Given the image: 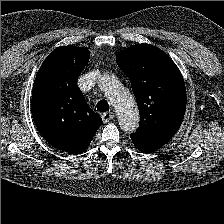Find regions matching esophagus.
Returning <instances> with one entry per match:
<instances>
[{"label": "esophagus", "mask_w": 224, "mask_h": 224, "mask_svg": "<svg viewBox=\"0 0 224 224\" xmlns=\"http://www.w3.org/2000/svg\"><path fill=\"white\" fill-rule=\"evenodd\" d=\"M101 117L103 122L107 123L114 118V114L112 112H106V113H103Z\"/></svg>", "instance_id": "34e87169"}]
</instances>
